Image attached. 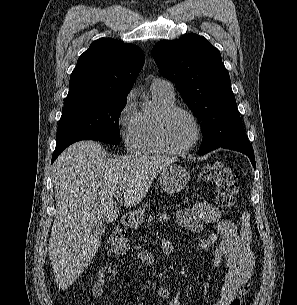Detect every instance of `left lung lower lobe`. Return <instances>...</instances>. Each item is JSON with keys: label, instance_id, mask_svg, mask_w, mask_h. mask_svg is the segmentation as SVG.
<instances>
[{"label": "left lung lower lobe", "instance_id": "left-lung-lower-lobe-1", "mask_svg": "<svg viewBox=\"0 0 297 305\" xmlns=\"http://www.w3.org/2000/svg\"><path fill=\"white\" fill-rule=\"evenodd\" d=\"M219 147L221 148H225V149H230V150H234V151H238V152H242L243 154L247 155L253 165V167L255 168V157H254V151H253V147L251 146L249 140L247 138L245 139H239L233 142H229V143H225L220 145ZM216 149V148H214ZM209 149L203 152H199L200 155L206 154L208 152H210L211 150Z\"/></svg>", "mask_w": 297, "mask_h": 305}]
</instances>
